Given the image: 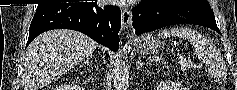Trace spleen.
Instances as JSON below:
<instances>
[{
    "instance_id": "spleen-1",
    "label": "spleen",
    "mask_w": 237,
    "mask_h": 90,
    "mask_svg": "<svg viewBox=\"0 0 237 90\" xmlns=\"http://www.w3.org/2000/svg\"><path fill=\"white\" fill-rule=\"evenodd\" d=\"M159 38H184L190 42L192 48H195L196 56L202 62H208V54L210 52V42H208L205 36L190 30V28H165L161 34H158Z\"/></svg>"
}]
</instances>
